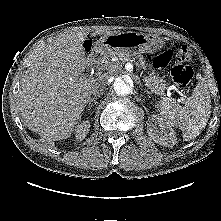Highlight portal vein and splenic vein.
<instances>
[{
  "mask_svg": "<svg viewBox=\"0 0 221 221\" xmlns=\"http://www.w3.org/2000/svg\"><path fill=\"white\" fill-rule=\"evenodd\" d=\"M173 89H175L173 86H170L167 88V90H173ZM168 96H169V94H168Z\"/></svg>",
  "mask_w": 221,
  "mask_h": 221,
  "instance_id": "1",
  "label": "portal vein and splenic vein"
}]
</instances>
